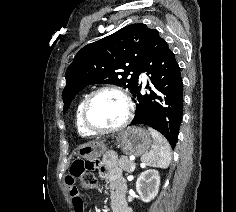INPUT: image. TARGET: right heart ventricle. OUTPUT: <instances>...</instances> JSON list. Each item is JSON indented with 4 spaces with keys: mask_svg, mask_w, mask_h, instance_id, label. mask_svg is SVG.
Masks as SVG:
<instances>
[{
    "mask_svg": "<svg viewBox=\"0 0 236 212\" xmlns=\"http://www.w3.org/2000/svg\"><path fill=\"white\" fill-rule=\"evenodd\" d=\"M86 97H83L82 99L79 100V102L77 103L76 107H75V112H74V124H75V128L77 133L82 136V137H90L93 134L88 132L85 127L82 124L81 121V109H82V105L83 102L85 100Z\"/></svg>",
    "mask_w": 236,
    "mask_h": 212,
    "instance_id": "1",
    "label": "right heart ventricle"
}]
</instances>
